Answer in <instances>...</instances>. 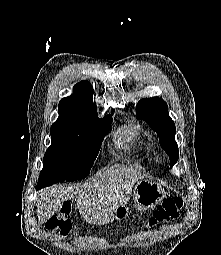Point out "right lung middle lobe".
Segmentation results:
<instances>
[{"instance_id": "1", "label": "right lung middle lobe", "mask_w": 221, "mask_h": 255, "mask_svg": "<svg viewBox=\"0 0 221 255\" xmlns=\"http://www.w3.org/2000/svg\"><path fill=\"white\" fill-rule=\"evenodd\" d=\"M111 123L112 117L107 115L98 118L96 129L52 125V143L45 153L38 184L50 186L88 176Z\"/></svg>"}]
</instances>
